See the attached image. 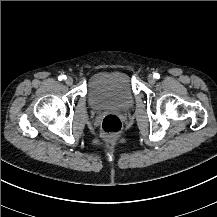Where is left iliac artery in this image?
<instances>
[{
    "mask_svg": "<svg viewBox=\"0 0 217 217\" xmlns=\"http://www.w3.org/2000/svg\"><path fill=\"white\" fill-rule=\"evenodd\" d=\"M154 78H156V79H159L160 78V75L158 74V73H154Z\"/></svg>",
    "mask_w": 217,
    "mask_h": 217,
    "instance_id": "44dca946",
    "label": "left iliac artery"
}]
</instances>
